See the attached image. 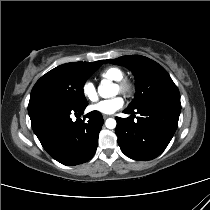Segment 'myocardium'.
<instances>
[{"label": "myocardium", "mask_w": 210, "mask_h": 210, "mask_svg": "<svg viewBox=\"0 0 210 210\" xmlns=\"http://www.w3.org/2000/svg\"><path fill=\"white\" fill-rule=\"evenodd\" d=\"M115 86L118 88L119 92L125 96H131L135 89L133 82L124 77L116 81Z\"/></svg>", "instance_id": "myocardium-1"}]
</instances>
